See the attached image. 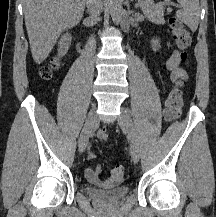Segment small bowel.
<instances>
[{"label":"small bowel","mask_w":216,"mask_h":217,"mask_svg":"<svg viewBox=\"0 0 216 217\" xmlns=\"http://www.w3.org/2000/svg\"><path fill=\"white\" fill-rule=\"evenodd\" d=\"M185 60L181 59L179 52L176 50L167 56L165 65L169 82H174L178 79L186 78V71L181 67L182 61ZM87 157L90 161L95 159V155L92 152H89ZM100 173V166L97 164H91L85 170V177L90 183L103 188L110 187L116 183L112 178L107 180L102 179Z\"/></svg>","instance_id":"small-bowel-1"}]
</instances>
